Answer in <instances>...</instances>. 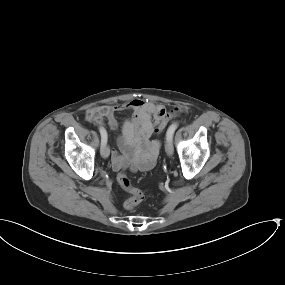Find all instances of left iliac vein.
Wrapping results in <instances>:
<instances>
[{
    "instance_id": "left-iliac-vein-1",
    "label": "left iliac vein",
    "mask_w": 285,
    "mask_h": 285,
    "mask_svg": "<svg viewBox=\"0 0 285 285\" xmlns=\"http://www.w3.org/2000/svg\"><path fill=\"white\" fill-rule=\"evenodd\" d=\"M165 151L166 153L171 156L174 152L172 138H167L165 142Z\"/></svg>"
}]
</instances>
